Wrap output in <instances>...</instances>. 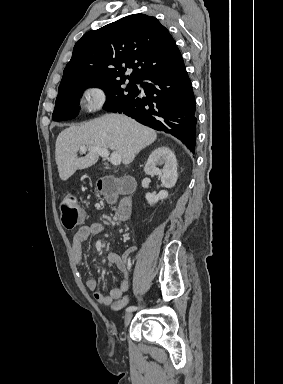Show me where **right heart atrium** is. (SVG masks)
Returning <instances> with one entry per match:
<instances>
[{
	"label": "right heart atrium",
	"instance_id": "1",
	"mask_svg": "<svg viewBox=\"0 0 283 384\" xmlns=\"http://www.w3.org/2000/svg\"><path fill=\"white\" fill-rule=\"evenodd\" d=\"M81 108L85 113L100 110L107 102V88L99 82L85 84L80 90Z\"/></svg>",
	"mask_w": 283,
	"mask_h": 384
}]
</instances>
